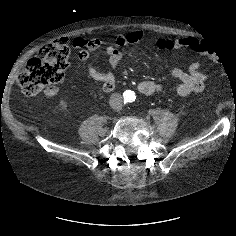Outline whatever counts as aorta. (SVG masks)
<instances>
[{
	"mask_svg": "<svg viewBox=\"0 0 236 236\" xmlns=\"http://www.w3.org/2000/svg\"><path fill=\"white\" fill-rule=\"evenodd\" d=\"M130 92L126 93V98H130L131 99V95H129Z\"/></svg>",
	"mask_w": 236,
	"mask_h": 236,
	"instance_id": "aorta-1",
	"label": "aorta"
}]
</instances>
